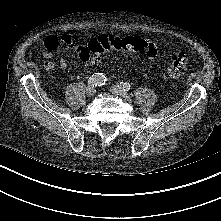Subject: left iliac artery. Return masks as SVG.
Masks as SVG:
<instances>
[{"mask_svg":"<svg viewBox=\"0 0 221 221\" xmlns=\"http://www.w3.org/2000/svg\"><path fill=\"white\" fill-rule=\"evenodd\" d=\"M121 86H122L124 91H129L130 87H131L128 82H122Z\"/></svg>","mask_w":221,"mask_h":221,"instance_id":"left-iliac-artery-1","label":"left iliac artery"}]
</instances>
